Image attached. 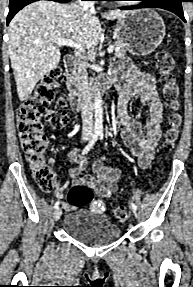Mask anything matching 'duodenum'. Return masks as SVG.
<instances>
[{"mask_svg": "<svg viewBox=\"0 0 193 287\" xmlns=\"http://www.w3.org/2000/svg\"><path fill=\"white\" fill-rule=\"evenodd\" d=\"M77 63V58L73 53H68L64 58V67L66 72V86L70 95V105L74 112L82 110L85 105V99L82 92L77 89L74 69ZM108 87V83L104 85V88Z\"/></svg>", "mask_w": 193, "mask_h": 287, "instance_id": "obj_1", "label": "duodenum"}]
</instances>
